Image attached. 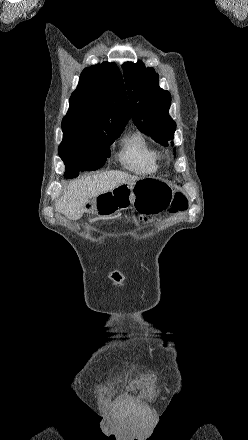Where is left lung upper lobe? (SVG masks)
Masks as SVG:
<instances>
[{"instance_id":"obj_1","label":"left lung upper lobe","mask_w":248,"mask_h":440,"mask_svg":"<svg viewBox=\"0 0 248 440\" xmlns=\"http://www.w3.org/2000/svg\"><path fill=\"white\" fill-rule=\"evenodd\" d=\"M123 70L133 122L142 133L168 146L176 130V123L168 114L170 93L159 87L155 70L146 68L141 61L127 62Z\"/></svg>"}]
</instances>
